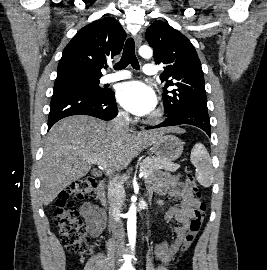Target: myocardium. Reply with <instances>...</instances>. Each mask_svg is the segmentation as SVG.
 Masks as SVG:
<instances>
[{
    "instance_id": "myocardium-1",
    "label": "myocardium",
    "mask_w": 267,
    "mask_h": 270,
    "mask_svg": "<svg viewBox=\"0 0 267 270\" xmlns=\"http://www.w3.org/2000/svg\"><path fill=\"white\" fill-rule=\"evenodd\" d=\"M163 111L161 109L156 110L148 119L149 123H158L162 120Z\"/></svg>"
}]
</instances>
